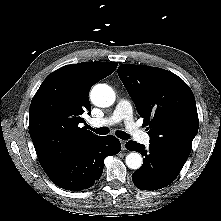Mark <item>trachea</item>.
<instances>
[{"instance_id": "trachea-1", "label": "trachea", "mask_w": 221, "mask_h": 221, "mask_svg": "<svg viewBox=\"0 0 221 221\" xmlns=\"http://www.w3.org/2000/svg\"><path fill=\"white\" fill-rule=\"evenodd\" d=\"M88 128L99 135H106V134H108V131H109L108 128H106V127L94 129V128L88 126ZM116 135H117V137H119L120 139H123V140H127L129 138V135L124 131H116Z\"/></svg>"}]
</instances>
